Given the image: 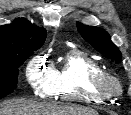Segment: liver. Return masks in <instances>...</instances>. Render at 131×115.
I'll return each instance as SVG.
<instances>
[{
	"instance_id": "6515ba94",
	"label": "liver",
	"mask_w": 131,
	"mask_h": 115,
	"mask_svg": "<svg viewBox=\"0 0 131 115\" xmlns=\"http://www.w3.org/2000/svg\"><path fill=\"white\" fill-rule=\"evenodd\" d=\"M0 115H98L87 107L58 104H40L16 99L0 104Z\"/></svg>"
}]
</instances>
